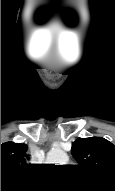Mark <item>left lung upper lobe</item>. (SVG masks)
<instances>
[{
    "label": "left lung upper lobe",
    "mask_w": 115,
    "mask_h": 191,
    "mask_svg": "<svg viewBox=\"0 0 115 191\" xmlns=\"http://www.w3.org/2000/svg\"><path fill=\"white\" fill-rule=\"evenodd\" d=\"M71 151L78 167L115 184V146L111 142L102 137L78 138Z\"/></svg>",
    "instance_id": "left-lung-upper-lobe-1"
}]
</instances>
